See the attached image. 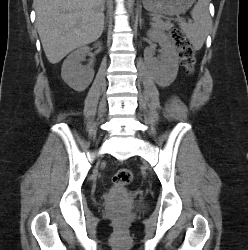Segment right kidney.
Listing matches in <instances>:
<instances>
[{
	"instance_id": "obj_1",
	"label": "right kidney",
	"mask_w": 248,
	"mask_h": 250,
	"mask_svg": "<svg viewBox=\"0 0 248 250\" xmlns=\"http://www.w3.org/2000/svg\"><path fill=\"white\" fill-rule=\"evenodd\" d=\"M101 43H96L100 46ZM89 53L88 46H82L71 53L63 62L61 77L64 82L75 91H84L94 78V70L90 67L81 68L80 62Z\"/></svg>"
}]
</instances>
